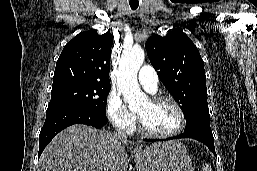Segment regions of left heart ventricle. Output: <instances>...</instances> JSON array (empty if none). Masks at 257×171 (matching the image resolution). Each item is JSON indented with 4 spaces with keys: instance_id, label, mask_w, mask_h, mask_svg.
<instances>
[{
    "instance_id": "b2bd125f",
    "label": "left heart ventricle",
    "mask_w": 257,
    "mask_h": 171,
    "mask_svg": "<svg viewBox=\"0 0 257 171\" xmlns=\"http://www.w3.org/2000/svg\"><path fill=\"white\" fill-rule=\"evenodd\" d=\"M136 112L146 127L156 132L165 133L172 131L179 124L178 113L167 102L153 104L148 100Z\"/></svg>"
}]
</instances>
